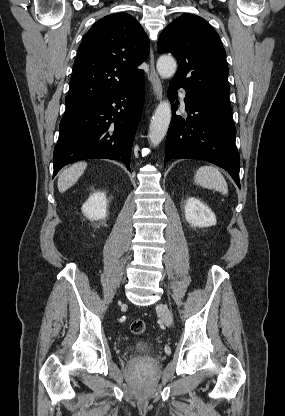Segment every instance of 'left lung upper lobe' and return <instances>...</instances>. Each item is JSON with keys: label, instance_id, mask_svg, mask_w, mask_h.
Here are the masks:
<instances>
[{"label": "left lung upper lobe", "instance_id": "5c2ea615", "mask_svg": "<svg viewBox=\"0 0 285 416\" xmlns=\"http://www.w3.org/2000/svg\"><path fill=\"white\" fill-rule=\"evenodd\" d=\"M157 50L176 57L179 68L172 82L185 92L229 105L226 52L206 20L193 14L181 15L162 31Z\"/></svg>", "mask_w": 285, "mask_h": 416}]
</instances>
